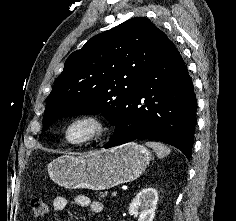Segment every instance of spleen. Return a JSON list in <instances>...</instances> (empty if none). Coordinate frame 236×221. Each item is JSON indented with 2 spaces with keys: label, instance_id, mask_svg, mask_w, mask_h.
<instances>
[{
  "label": "spleen",
  "instance_id": "1",
  "mask_svg": "<svg viewBox=\"0 0 236 221\" xmlns=\"http://www.w3.org/2000/svg\"><path fill=\"white\" fill-rule=\"evenodd\" d=\"M145 144L146 146L152 148L159 158H163L171 152V149L161 142L147 141Z\"/></svg>",
  "mask_w": 236,
  "mask_h": 221
}]
</instances>
